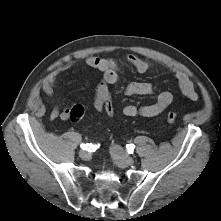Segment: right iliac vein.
Here are the masks:
<instances>
[{
	"label": "right iliac vein",
	"mask_w": 221,
	"mask_h": 221,
	"mask_svg": "<svg viewBox=\"0 0 221 221\" xmlns=\"http://www.w3.org/2000/svg\"><path fill=\"white\" fill-rule=\"evenodd\" d=\"M81 159L83 160H89L90 159V154L86 150H81L79 153Z\"/></svg>",
	"instance_id": "right-iliac-vein-1"
}]
</instances>
